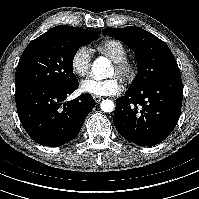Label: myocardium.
I'll return each mask as SVG.
<instances>
[{"label":"myocardium","instance_id":"1","mask_svg":"<svg viewBox=\"0 0 199 199\" xmlns=\"http://www.w3.org/2000/svg\"><path fill=\"white\" fill-rule=\"evenodd\" d=\"M115 73L125 81L134 79L137 73V67L134 61L125 58L117 63H114Z\"/></svg>","mask_w":199,"mask_h":199}]
</instances>
